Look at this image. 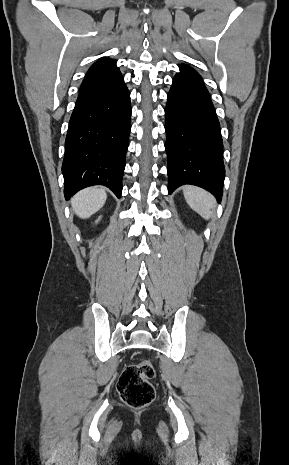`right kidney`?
<instances>
[{"label": "right kidney", "instance_id": "right-kidney-1", "mask_svg": "<svg viewBox=\"0 0 289 465\" xmlns=\"http://www.w3.org/2000/svg\"><path fill=\"white\" fill-rule=\"evenodd\" d=\"M99 220H100V217H99V219H98L96 222H98Z\"/></svg>", "mask_w": 289, "mask_h": 465}]
</instances>
